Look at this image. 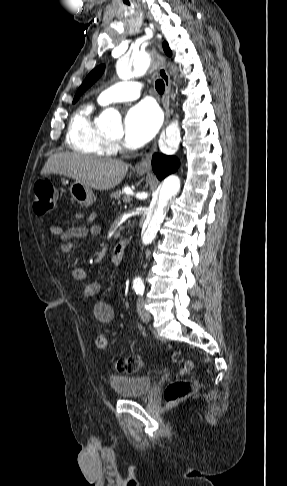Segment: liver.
<instances>
[{
	"label": "liver",
	"instance_id": "obj_1",
	"mask_svg": "<svg viewBox=\"0 0 287 486\" xmlns=\"http://www.w3.org/2000/svg\"><path fill=\"white\" fill-rule=\"evenodd\" d=\"M128 167L120 160L63 152L48 158L41 175H64L94 189L109 190L123 180Z\"/></svg>",
	"mask_w": 287,
	"mask_h": 486
}]
</instances>
